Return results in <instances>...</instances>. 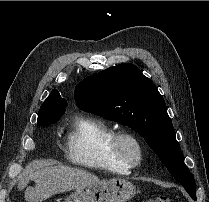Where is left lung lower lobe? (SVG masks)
<instances>
[{
    "label": "left lung lower lobe",
    "instance_id": "1",
    "mask_svg": "<svg viewBox=\"0 0 209 202\" xmlns=\"http://www.w3.org/2000/svg\"><path fill=\"white\" fill-rule=\"evenodd\" d=\"M193 200H196V197H192Z\"/></svg>",
    "mask_w": 209,
    "mask_h": 202
}]
</instances>
